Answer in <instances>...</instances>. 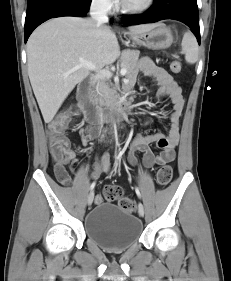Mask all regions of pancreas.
<instances>
[{"instance_id": "cf45deb5", "label": "pancreas", "mask_w": 231, "mask_h": 281, "mask_svg": "<svg viewBox=\"0 0 231 281\" xmlns=\"http://www.w3.org/2000/svg\"><path fill=\"white\" fill-rule=\"evenodd\" d=\"M140 52L138 50L126 49L121 55V68L127 69V76H130L138 62ZM101 102L107 107H113L116 100V90L110 87L109 83H102L100 87Z\"/></svg>"}]
</instances>
